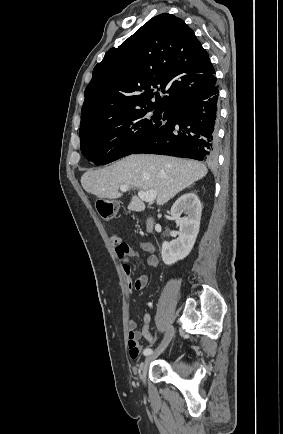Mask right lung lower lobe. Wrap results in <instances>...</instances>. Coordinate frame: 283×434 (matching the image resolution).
<instances>
[{
	"instance_id": "right-lung-lower-lobe-1",
	"label": "right lung lower lobe",
	"mask_w": 283,
	"mask_h": 434,
	"mask_svg": "<svg viewBox=\"0 0 283 434\" xmlns=\"http://www.w3.org/2000/svg\"><path fill=\"white\" fill-rule=\"evenodd\" d=\"M163 123L133 154L151 153L213 162L216 158V83L165 111Z\"/></svg>"
}]
</instances>
